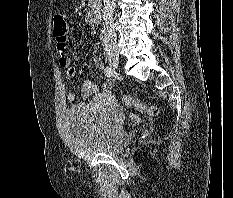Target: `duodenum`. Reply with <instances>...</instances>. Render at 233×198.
<instances>
[{
    "mask_svg": "<svg viewBox=\"0 0 233 198\" xmlns=\"http://www.w3.org/2000/svg\"><path fill=\"white\" fill-rule=\"evenodd\" d=\"M101 18L100 10L97 8H94L90 10L86 15V21L89 25L95 26L99 23Z\"/></svg>",
    "mask_w": 233,
    "mask_h": 198,
    "instance_id": "obj_1",
    "label": "duodenum"
}]
</instances>
